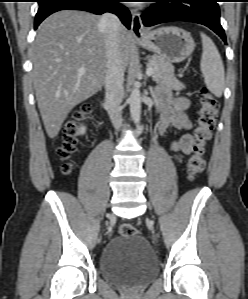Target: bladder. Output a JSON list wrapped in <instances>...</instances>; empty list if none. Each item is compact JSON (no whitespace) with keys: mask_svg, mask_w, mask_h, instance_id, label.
Wrapping results in <instances>:
<instances>
[{"mask_svg":"<svg viewBox=\"0 0 248 299\" xmlns=\"http://www.w3.org/2000/svg\"><path fill=\"white\" fill-rule=\"evenodd\" d=\"M101 275L111 283L126 287L142 286L158 275L155 252L144 236H116L103 248Z\"/></svg>","mask_w":248,"mask_h":299,"instance_id":"1","label":"bladder"}]
</instances>
